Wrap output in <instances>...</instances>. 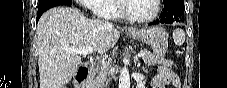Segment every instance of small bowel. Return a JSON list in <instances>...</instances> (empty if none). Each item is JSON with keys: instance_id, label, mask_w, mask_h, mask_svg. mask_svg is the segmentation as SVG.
Returning a JSON list of instances; mask_svg holds the SVG:
<instances>
[{"instance_id": "c3829d8e", "label": "small bowel", "mask_w": 227, "mask_h": 88, "mask_svg": "<svg viewBox=\"0 0 227 88\" xmlns=\"http://www.w3.org/2000/svg\"><path fill=\"white\" fill-rule=\"evenodd\" d=\"M172 82L173 85L180 84L179 78L168 68L160 67L158 75L153 79L152 88H164L168 83Z\"/></svg>"}]
</instances>
